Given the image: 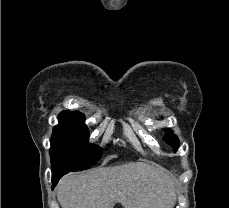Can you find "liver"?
<instances>
[{"label": "liver", "mask_w": 229, "mask_h": 208, "mask_svg": "<svg viewBox=\"0 0 229 208\" xmlns=\"http://www.w3.org/2000/svg\"><path fill=\"white\" fill-rule=\"evenodd\" d=\"M172 176L161 166L130 162L113 168L68 174L60 180L61 208H172L176 202Z\"/></svg>", "instance_id": "1"}]
</instances>
